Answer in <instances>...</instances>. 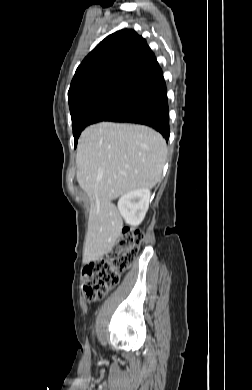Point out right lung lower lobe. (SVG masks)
<instances>
[{
	"label": "right lung lower lobe",
	"instance_id": "1",
	"mask_svg": "<svg viewBox=\"0 0 252 390\" xmlns=\"http://www.w3.org/2000/svg\"><path fill=\"white\" fill-rule=\"evenodd\" d=\"M165 81L136 98L128 107L105 121L143 124L169 139V108Z\"/></svg>",
	"mask_w": 252,
	"mask_h": 390
}]
</instances>
